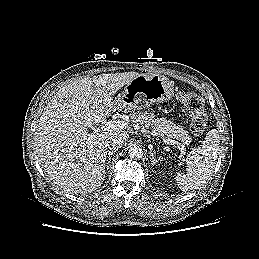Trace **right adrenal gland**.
Wrapping results in <instances>:
<instances>
[{"label":"right adrenal gland","mask_w":259,"mask_h":259,"mask_svg":"<svg viewBox=\"0 0 259 259\" xmlns=\"http://www.w3.org/2000/svg\"><path fill=\"white\" fill-rule=\"evenodd\" d=\"M114 152H115L114 150L108 152V156H107V158H106V160H105V162L107 163V165L110 164V157L113 155Z\"/></svg>","instance_id":"1"}]
</instances>
